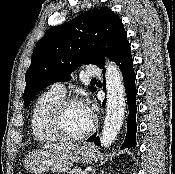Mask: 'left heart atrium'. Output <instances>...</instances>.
<instances>
[{
	"mask_svg": "<svg viewBox=\"0 0 175 174\" xmlns=\"http://www.w3.org/2000/svg\"><path fill=\"white\" fill-rule=\"evenodd\" d=\"M87 114L89 115L90 119H94V108L90 104H84Z\"/></svg>",
	"mask_w": 175,
	"mask_h": 174,
	"instance_id": "1",
	"label": "left heart atrium"
}]
</instances>
